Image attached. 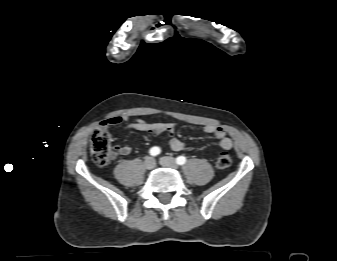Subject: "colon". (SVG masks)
<instances>
[{
	"instance_id": "obj_1",
	"label": "colon",
	"mask_w": 337,
	"mask_h": 261,
	"mask_svg": "<svg viewBox=\"0 0 337 261\" xmlns=\"http://www.w3.org/2000/svg\"><path fill=\"white\" fill-rule=\"evenodd\" d=\"M90 151L96 164H107L115 154L110 134L103 130L94 131L90 138ZM215 165L219 170L228 168L231 165L230 154L226 151L219 153Z\"/></svg>"
}]
</instances>
